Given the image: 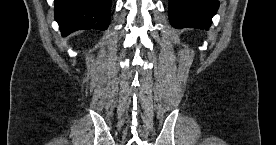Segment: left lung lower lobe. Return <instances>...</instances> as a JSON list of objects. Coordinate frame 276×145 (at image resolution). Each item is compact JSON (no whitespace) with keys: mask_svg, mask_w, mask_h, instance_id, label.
<instances>
[{"mask_svg":"<svg viewBox=\"0 0 276 145\" xmlns=\"http://www.w3.org/2000/svg\"><path fill=\"white\" fill-rule=\"evenodd\" d=\"M218 7V0H169L170 23L179 29L208 30Z\"/></svg>","mask_w":276,"mask_h":145,"instance_id":"1","label":"left lung lower lobe"}]
</instances>
